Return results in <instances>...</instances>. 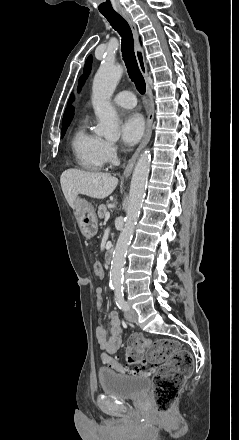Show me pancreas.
<instances>
[{
	"mask_svg": "<svg viewBox=\"0 0 239 440\" xmlns=\"http://www.w3.org/2000/svg\"><path fill=\"white\" fill-rule=\"evenodd\" d=\"M106 212H107V208L105 204H101V206H99L98 208V218H100V220H103V218H105L106 216Z\"/></svg>",
	"mask_w": 239,
	"mask_h": 440,
	"instance_id": "pancreas-1",
	"label": "pancreas"
}]
</instances>
